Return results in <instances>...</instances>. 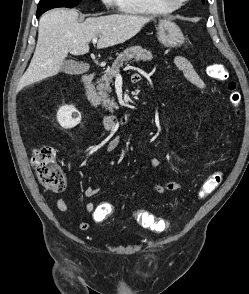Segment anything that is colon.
<instances>
[{
  "mask_svg": "<svg viewBox=\"0 0 249 294\" xmlns=\"http://www.w3.org/2000/svg\"><path fill=\"white\" fill-rule=\"evenodd\" d=\"M206 71L210 77L228 83L229 102L234 108L236 115H239L241 95L234 83L227 79L224 69L218 64H210L207 66ZM32 166L38 182L44 188L56 191L66 186V176L55 162V151L52 147L44 145L35 148L32 155ZM221 181L222 174L220 172L212 173L202 184L198 196L203 198L211 194L220 185ZM107 212H113L112 206H108ZM134 218L143 228L152 231L162 232L168 227L166 220L155 217L149 212L138 211L134 214Z\"/></svg>",
  "mask_w": 249,
  "mask_h": 294,
  "instance_id": "1",
  "label": "colon"
}]
</instances>
